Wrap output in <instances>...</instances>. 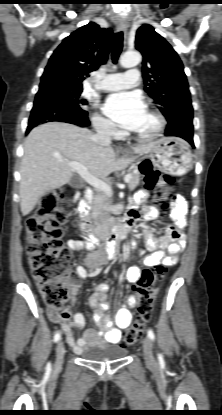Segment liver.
Here are the masks:
<instances>
[{
	"label": "liver",
	"mask_w": 222,
	"mask_h": 415,
	"mask_svg": "<svg viewBox=\"0 0 222 415\" xmlns=\"http://www.w3.org/2000/svg\"><path fill=\"white\" fill-rule=\"evenodd\" d=\"M92 136L88 129L62 122H49L32 129L24 143L20 167L19 194L23 216L35 208L44 194L70 181L72 168L67 161L84 165L96 178H105L134 161V157L117 159L110 145H99ZM151 148L152 143L139 145L133 151L142 155Z\"/></svg>",
	"instance_id": "6515ba94"
}]
</instances>
